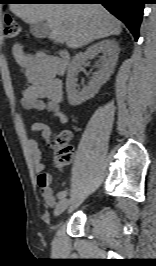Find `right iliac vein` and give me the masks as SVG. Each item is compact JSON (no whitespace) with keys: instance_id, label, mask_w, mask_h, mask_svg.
Segmentation results:
<instances>
[{"instance_id":"63e3f726","label":"right iliac vein","mask_w":156,"mask_h":266,"mask_svg":"<svg viewBox=\"0 0 156 266\" xmlns=\"http://www.w3.org/2000/svg\"><path fill=\"white\" fill-rule=\"evenodd\" d=\"M69 201L67 199H62L56 206L54 210V216L57 217L62 214L68 207Z\"/></svg>"}]
</instances>
